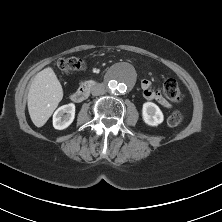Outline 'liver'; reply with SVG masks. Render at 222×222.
I'll use <instances>...</instances> for the list:
<instances>
[{
  "label": "liver",
  "instance_id": "liver-1",
  "mask_svg": "<svg viewBox=\"0 0 222 222\" xmlns=\"http://www.w3.org/2000/svg\"><path fill=\"white\" fill-rule=\"evenodd\" d=\"M62 98L63 89L53 69L47 67L37 73L27 96L28 111L34 125L42 127Z\"/></svg>",
  "mask_w": 222,
  "mask_h": 222
}]
</instances>
